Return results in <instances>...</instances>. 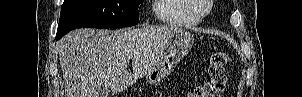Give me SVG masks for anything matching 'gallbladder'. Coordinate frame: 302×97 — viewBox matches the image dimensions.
<instances>
[{
  "instance_id": "bac80fb5",
  "label": "gallbladder",
  "mask_w": 302,
  "mask_h": 97,
  "mask_svg": "<svg viewBox=\"0 0 302 97\" xmlns=\"http://www.w3.org/2000/svg\"><path fill=\"white\" fill-rule=\"evenodd\" d=\"M109 90L108 89H103V90H101V92H100V97H108V95H109Z\"/></svg>"
}]
</instances>
